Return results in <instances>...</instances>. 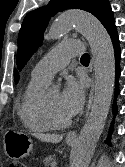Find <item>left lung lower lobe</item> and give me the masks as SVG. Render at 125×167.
<instances>
[{
    "label": "left lung lower lobe",
    "instance_id": "1",
    "mask_svg": "<svg viewBox=\"0 0 125 167\" xmlns=\"http://www.w3.org/2000/svg\"><path fill=\"white\" fill-rule=\"evenodd\" d=\"M106 30L109 33L111 40H112V43H113V48H114V52H115L116 82H118V78L120 76V65L119 64H120V58H121V51H120L119 37L117 34L115 21ZM118 94H119L118 87H116L115 96H117ZM113 111L116 112L115 105L113 106ZM111 131H112V126L110 128L109 134H111ZM109 140H110V136L107 138L106 143L110 144Z\"/></svg>",
    "mask_w": 125,
    "mask_h": 167
}]
</instances>
